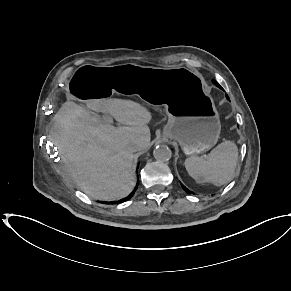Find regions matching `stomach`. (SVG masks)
Masks as SVG:
<instances>
[{
  "label": "stomach",
  "instance_id": "0dacf381",
  "mask_svg": "<svg viewBox=\"0 0 291 291\" xmlns=\"http://www.w3.org/2000/svg\"><path fill=\"white\" fill-rule=\"evenodd\" d=\"M111 93H138L144 100L163 104L168 123L163 135L178 141L186 155L211 149L218 141V111L202 75L186 67L158 68L136 64L84 66L74 74L70 98L84 101Z\"/></svg>",
  "mask_w": 291,
  "mask_h": 291
}]
</instances>
